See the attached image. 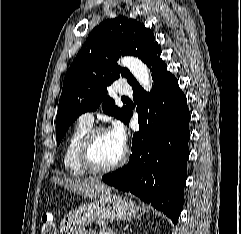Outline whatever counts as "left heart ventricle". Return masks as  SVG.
Listing matches in <instances>:
<instances>
[{
	"instance_id": "left-heart-ventricle-1",
	"label": "left heart ventricle",
	"mask_w": 241,
	"mask_h": 234,
	"mask_svg": "<svg viewBox=\"0 0 241 234\" xmlns=\"http://www.w3.org/2000/svg\"><path fill=\"white\" fill-rule=\"evenodd\" d=\"M123 149L109 132H103L95 140L92 150L93 159L100 166H108L121 157Z\"/></svg>"
}]
</instances>
